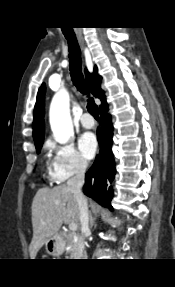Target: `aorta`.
I'll return each instance as SVG.
<instances>
[{"mask_svg": "<svg viewBox=\"0 0 175 287\" xmlns=\"http://www.w3.org/2000/svg\"><path fill=\"white\" fill-rule=\"evenodd\" d=\"M49 119L56 142L66 144L74 135V130L70 116V96L65 89L54 95L50 105Z\"/></svg>", "mask_w": 175, "mask_h": 287, "instance_id": "1", "label": "aorta"}]
</instances>
